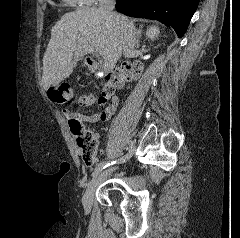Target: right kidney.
I'll return each mask as SVG.
<instances>
[{
  "label": "right kidney",
  "mask_w": 240,
  "mask_h": 238,
  "mask_svg": "<svg viewBox=\"0 0 240 238\" xmlns=\"http://www.w3.org/2000/svg\"><path fill=\"white\" fill-rule=\"evenodd\" d=\"M160 31H159V28L156 27V26H151L147 31H146V36L154 41L158 35H159Z\"/></svg>",
  "instance_id": "ca27d5eb"
}]
</instances>
